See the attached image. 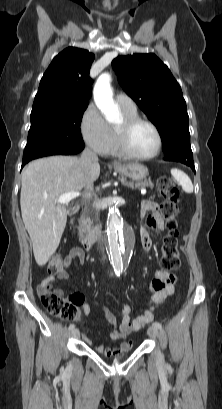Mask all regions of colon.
<instances>
[{
	"mask_svg": "<svg viewBox=\"0 0 222 409\" xmlns=\"http://www.w3.org/2000/svg\"><path fill=\"white\" fill-rule=\"evenodd\" d=\"M157 188L164 201L160 208L161 216L168 229V233L161 248L160 266L165 272L176 270L180 267V256L178 251V229L176 216L180 204V193L173 180L162 176L157 181ZM65 268L64 257L54 254L48 263V271L57 274ZM43 307L51 315L72 319L77 316L76 306L71 299L57 291H44L40 293Z\"/></svg>",
	"mask_w": 222,
	"mask_h": 409,
	"instance_id": "obj_1",
	"label": "colon"
}]
</instances>
